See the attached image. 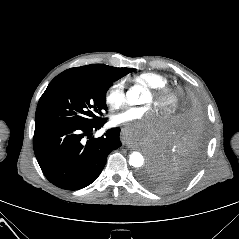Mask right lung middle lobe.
<instances>
[{"label": "right lung middle lobe", "mask_w": 239, "mask_h": 239, "mask_svg": "<svg viewBox=\"0 0 239 239\" xmlns=\"http://www.w3.org/2000/svg\"><path fill=\"white\" fill-rule=\"evenodd\" d=\"M133 71L103 77L56 76L38 102L35 124L90 125L103 120L107 90L114 81Z\"/></svg>", "instance_id": "obj_1"}]
</instances>
